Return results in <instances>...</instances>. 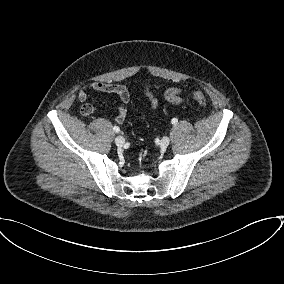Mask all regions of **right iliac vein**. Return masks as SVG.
I'll use <instances>...</instances> for the list:
<instances>
[{
  "instance_id": "63e3f726",
  "label": "right iliac vein",
  "mask_w": 284,
  "mask_h": 284,
  "mask_svg": "<svg viewBox=\"0 0 284 284\" xmlns=\"http://www.w3.org/2000/svg\"><path fill=\"white\" fill-rule=\"evenodd\" d=\"M115 143H116V145L119 146V147L123 146L124 143H125L124 137H122V136H120V135L117 136V137L115 138Z\"/></svg>"
}]
</instances>
